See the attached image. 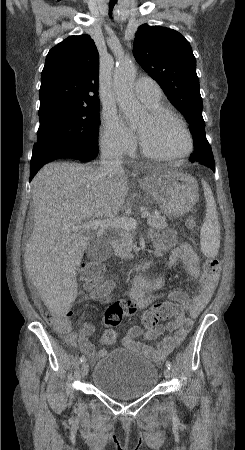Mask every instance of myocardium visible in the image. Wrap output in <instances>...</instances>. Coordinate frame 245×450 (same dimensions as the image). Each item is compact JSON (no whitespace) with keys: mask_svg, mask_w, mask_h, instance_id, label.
I'll use <instances>...</instances> for the list:
<instances>
[{"mask_svg":"<svg viewBox=\"0 0 245 450\" xmlns=\"http://www.w3.org/2000/svg\"><path fill=\"white\" fill-rule=\"evenodd\" d=\"M150 117L155 121H160L164 118H169V119L173 120L174 122H176L177 124H179L180 127L182 128V130L184 131V133L186 134V137L188 140V147H187L186 151L183 152L182 154L172 155V156H164V155H159V154L149 151L144 146L142 141L140 140V149H141V153L144 157L149 158L154 161H159V162H170V161L181 160V159L187 158L193 153L194 147H195L193 136H192L189 128L187 127L186 123L175 112H173L170 109L153 108L150 112Z\"/></svg>","mask_w":245,"mask_h":450,"instance_id":"myocardium-1","label":"myocardium"}]
</instances>
